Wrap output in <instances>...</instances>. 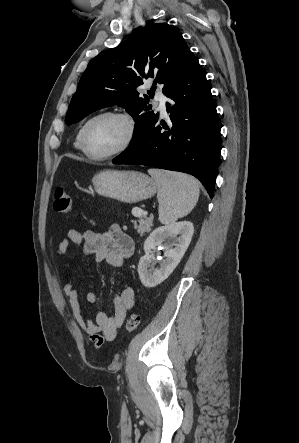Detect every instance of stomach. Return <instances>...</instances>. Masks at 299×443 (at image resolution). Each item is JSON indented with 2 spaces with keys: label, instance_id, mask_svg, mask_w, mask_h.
Instances as JSON below:
<instances>
[{
  "label": "stomach",
  "instance_id": "obj_1",
  "mask_svg": "<svg viewBox=\"0 0 299 443\" xmlns=\"http://www.w3.org/2000/svg\"><path fill=\"white\" fill-rule=\"evenodd\" d=\"M92 182L98 194L130 204L151 198L158 189L153 178L138 171L105 170Z\"/></svg>",
  "mask_w": 299,
  "mask_h": 443
}]
</instances>
